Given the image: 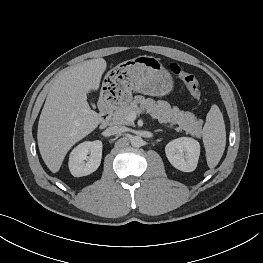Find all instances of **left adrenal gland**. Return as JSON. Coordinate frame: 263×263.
I'll list each match as a JSON object with an SVG mask.
<instances>
[{
	"label": "left adrenal gland",
	"instance_id": "left-adrenal-gland-1",
	"mask_svg": "<svg viewBox=\"0 0 263 263\" xmlns=\"http://www.w3.org/2000/svg\"><path fill=\"white\" fill-rule=\"evenodd\" d=\"M155 132H162V130H161V129H159V130H156Z\"/></svg>",
	"mask_w": 263,
	"mask_h": 263
}]
</instances>
